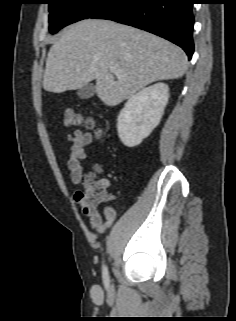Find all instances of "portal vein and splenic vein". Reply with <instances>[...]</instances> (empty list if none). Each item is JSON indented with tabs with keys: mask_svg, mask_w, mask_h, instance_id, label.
Instances as JSON below:
<instances>
[{
	"mask_svg": "<svg viewBox=\"0 0 236 321\" xmlns=\"http://www.w3.org/2000/svg\"><path fill=\"white\" fill-rule=\"evenodd\" d=\"M110 72L114 73L115 75H119L121 71L116 67H110Z\"/></svg>",
	"mask_w": 236,
	"mask_h": 321,
	"instance_id": "obj_1",
	"label": "portal vein and splenic vein"
}]
</instances>
